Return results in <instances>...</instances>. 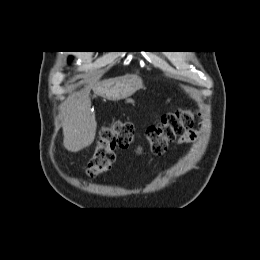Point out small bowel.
Segmentation results:
<instances>
[{
    "instance_id": "c3829d8e",
    "label": "small bowel",
    "mask_w": 260,
    "mask_h": 260,
    "mask_svg": "<svg viewBox=\"0 0 260 260\" xmlns=\"http://www.w3.org/2000/svg\"><path fill=\"white\" fill-rule=\"evenodd\" d=\"M197 137L198 131L196 129H190L178 140V143H193L197 140Z\"/></svg>"
}]
</instances>
